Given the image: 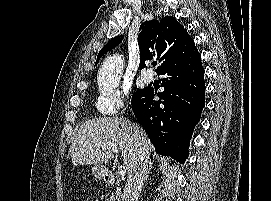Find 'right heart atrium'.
<instances>
[{"label": "right heart atrium", "mask_w": 271, "mask_h": 201, "mask_svg": "<svg viewBox=\"0 0 271 201\" xmlns=\"http://www.w3.org/2000/svg\"><path fill=\"white\" fill-rule=\"evenodd\" d=\"M124 104V96L118 91H111L100 95L95 102V107L100 113L115 115L122 111Z\"/></svg>", "instance_id": "d8ad5b80"}]
</instances>
